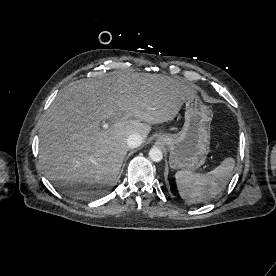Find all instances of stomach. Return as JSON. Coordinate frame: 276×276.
<instances>
[{"instance_id": "stomach-1", "label": "stomach", "mask_w": 276, "mask_h": 276, "mask_svg": "<svg viewBox=\"0 0 276 276\" xmlns=\"http://www.w3.org/2000/svg\"><path fill=\"white\" fill-rule=\"evenodd\" d=\"M212 111L195 96L185 102V122L177 134L161 133L158 141L169 150L173 169L195 171L206 161L210 152Z\"/></svg>"}]
</instances>
